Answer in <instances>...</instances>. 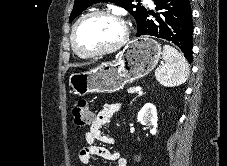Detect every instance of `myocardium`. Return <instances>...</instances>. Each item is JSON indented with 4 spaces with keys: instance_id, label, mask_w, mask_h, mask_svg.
Listing matches in <instances>:
<instances>
[{
    "instance_id": "1",
    "label": "myocardium",
    "mask_w": 227,
    "mask_h": 166,
    "mask_svg": "<svg viewBox=\"0 0 227 166\" xmlns=\"http://www.w3.org/2000/svg\"><path fill=\"white\" fill-rule=\"evenodd\" d=\"M99 15L111 17V18L115 19L116 21H118L120 23V25L122 26V37L117 43H115L112 46H109V47H106L103 49H99V50H94V51H84L76 43L75 36H76L77 28L86 19L93 17V16H99ZM128 38H129V29H128V25H127L126 21L124 20V18L122 17L121 14H119L115 11H110V10H96V11H92V12H89V13L83 15L74 23L72 30H71V34H70L71 46H72V49L74 50V52L82 57H90V58L108 55V54H111V53L119 50L121 47H123L127 43Z\"/></svg>"
}]
</instances>
